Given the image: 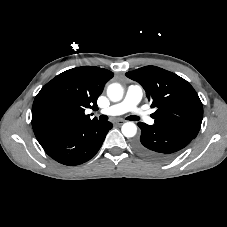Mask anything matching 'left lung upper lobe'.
<instances>
[{
  "instance_id": "left-lung-upper-lobe-1",
  "label": "left lung upper lobe",
  "mask_w": 227,
  "mask_h": 227,
  "mask_svg": "<svg viewBox=\"0 0 227 227\" xmlns=\"http://www.w3.org/2000/svg\"><path fill=\"white\" fill-rule=\"evenodd\" d=\"M146 91L156 126L168 127L194 138L203 118V106L194 88L178 75L156 66H145L126 73Z\"/></svg>"
}]
</instances>
